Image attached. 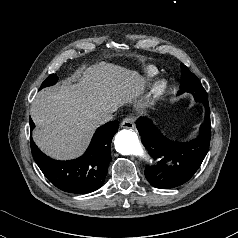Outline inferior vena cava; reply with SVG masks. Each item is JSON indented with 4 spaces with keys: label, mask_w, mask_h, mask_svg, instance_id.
Wrapping results in <instances>:
<instances>
[{
    "label": "inferior vena cava",
    "mask_w": 238,
    "mask_h": 238,
    "mask_svg": "<svg viewBox=\"0 0 238 238\" xmlns=\"http://www.w3.org/2000/svg\"><path fill=\"white\" fill-rule=\"evenodd\" d=\"M113 118V116L109 113H102L96 117V123L98 125H102L108 121H110Z\"/></svg>",
    "instance_id": "1"
}]
</instances>
